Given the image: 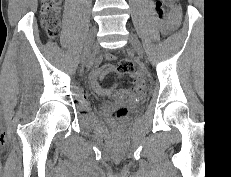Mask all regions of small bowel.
Listing matches in <instances>:
<instances>
[{"mask_svg":"<svg viewBox=\"0 0 231 177\" xmlns=\"http://www.w3.org/2000/svg\"><path fill=\"white\" fill-rule=\"evenodd\" d=\"M176 20L175 18H171L167 21L162 22L161 26L162 29L164 30V32H169L172 30L173 26L175 25ZM107 60H113L115 59L114 55L112 54H107L106 56ZM117 67L115 65H107L104 69H100V68H95L91 75H90V85L92 87V89L97 92L98 94L101 95H111L115 92V87L112 88H103L100 85V81L102 80V78L104 77V75L107 72H112V71H116ZM137 79V77H136ZM136 91H141L142 90V85L138 84L137 87L135 88Z\"/></svg>","mask_w":231,"mask_h":177,"instance_id":"small-bowel-1","label":"small bowel"}]
</instances>
